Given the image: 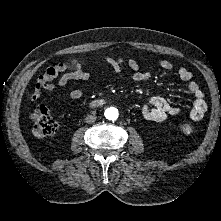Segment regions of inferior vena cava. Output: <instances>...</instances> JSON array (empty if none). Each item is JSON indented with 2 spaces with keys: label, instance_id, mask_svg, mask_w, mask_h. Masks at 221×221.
Here are the masks:
<instances>
[{
  "label": "inferior vena cava",
  "instance_id": "1",
  "mask_svg": "<svg viewBox=\"0 0 221 221\" xmlns=\"http://www.w3.org/2000/svg\"><path fill=\"white\" fill-rule=\"evenodd\" d=\"M96 116L95 115H87V117L85 118V122L86 123H93L96 120Z\"/></svg>",
  "mask_w": 221,
  "mask_h": 221
}]
</instances>
